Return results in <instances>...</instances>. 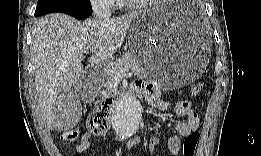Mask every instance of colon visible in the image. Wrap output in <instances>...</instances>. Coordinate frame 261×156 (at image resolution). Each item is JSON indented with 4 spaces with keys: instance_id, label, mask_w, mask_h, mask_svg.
<instances>
[{
    "instance_id": "1",
    "label": "colon",
    "mask_w": 261,
    "mask_h": 156,
    "mask_svg": "<svg viewBox=\"0 0 261 156\" xmlns=\"http://www.w3.org/2000/svg\"><path fill=\"white\" fill-rule=\"evenodd\" d=\"M203 90L202 82H195L191 85V94L198 96ZM110 106L103 104L95 107L87 120L88 130L94 135H102L109 129ZM199 133L194 132L188 136L183 144V156H195L199 141ZM60 139L65 142H76L79 134L76 130H65L60 134Z\"/></svg>"
}]
</instances>
